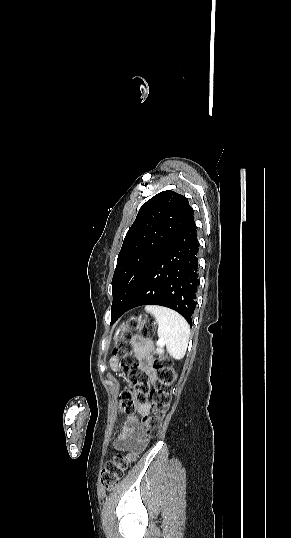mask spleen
I'll list each match as a JSON object with an SVG mask.
<instances>
[{
    "label": "spleen",
    "instance_id": "3e777b00",
    "mask_svg": "<svg viewBox=\"0 0 291 538\" xmlns=\"http://www.w3.org/2000/svg\"><path fill=\"white\" fill-rule=\"evenodd\" d=\"M145 310L153 314L158 323V337L166 344L168 353L174 359L184 356L190 334V326L177 312L161 306H146ZM158 353H163L159 348Z\"/></svg>",
    "mask_w": 291,
    "mask_h": 538
}]
</instances>
